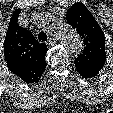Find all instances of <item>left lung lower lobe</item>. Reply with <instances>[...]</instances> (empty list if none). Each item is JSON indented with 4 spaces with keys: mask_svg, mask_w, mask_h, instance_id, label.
Listing matches in <instances>:
<instances>
[{
    "mask_svg": "<svg viewBox=\"0 0 113 113\" xmlns=\"http://www.w3.org/2000/svg\"><path fill=\"white\" fill-rule=\"evenodd\" d=\"M75 66L78 73L84 78H92L99 73L98 70L90 69L79 64H75Z\"/></svg>",
    "mask_w": 113,
    "mask_h": 113,
    "instance_id": "1",
    "label": "left lung lower lobe"
}]
</instances>
